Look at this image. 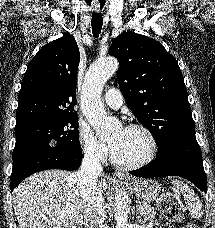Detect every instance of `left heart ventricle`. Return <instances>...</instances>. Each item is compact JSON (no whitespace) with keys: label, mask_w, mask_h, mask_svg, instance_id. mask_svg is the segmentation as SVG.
Listing matches in <instances>:
<instances>
[{"label":"left heart ventricle","mask_w":215,"mask_h":228,"mask_svg":"<svg viewBox=\"0 0 215 228\" xmlns=\"http://www.w3.org/2000/svg\"><path fill=\"white\" fill-rule=\"evenodd\" d=\"M118 140L119 144L112 152L115 159L120 162H136L147 152L148 143L145 135L140 130L119 129L111 135L109 141L112 145Z\"/></svg>","instance_id":"left-heart-ventricle-1"}]
</instances>
